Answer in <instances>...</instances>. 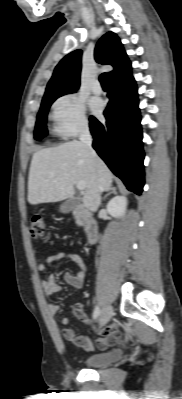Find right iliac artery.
I'll use <instances>...</instances> for the list:
<instances>
[{
	"instance_id": "obj_1",
	"label": "right iliac artery",
	"mask_w": 182,
	"mask_h": 399,
	"mask_svg": "<svg viewBox=\"0 0 182 399\" xmlns=\"http://www.w3.org/2000/svg\"><path fill=\"white\" fill-rule=\"evenodd\" d=\"M100 315V308L99 306H95L94 311H93V319H97Z\"/></svg>"
}]
</instances>
